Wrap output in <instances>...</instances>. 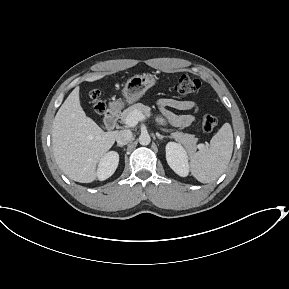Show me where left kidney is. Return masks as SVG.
<instances>
[{
  "label": "left kidney",
  "instance_id": "left-kidney-1",
  "mask_svg": "<svg viewBox=\"0 0 289 289\" xmlns=\"http://www.w3.org/2000/svg\"><path fill=\"white\" fill-rule=\"evenodd\" d=\"M166 160L170 168L179 176L186 177L189 173L188 153L179 143L168 142Z\"/></svg>",
  "mask_w": 289,
  "mask_h": 289
}]
</instances>
